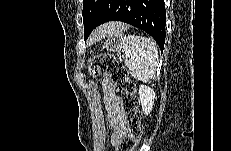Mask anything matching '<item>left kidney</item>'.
Listing matches in <instances>:
<instances>
[{"label":"left kidney","instance_id":"obj_1","mask_svg":"<svg viewBox=\"0 0 231 151\" xmlns=\"http://www.w3.org/2000/svg\"><path fill=\"white\" fill-rule=\"evenodd\" d=\"M155 98V92L153 89L146 85H140L139 101L141 103L142 110L146 115L150 114L152 111Z\"/></svg>","mask_w":231,"mask_h":151}]
</instances>
